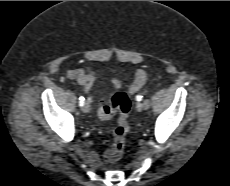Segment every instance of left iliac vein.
Returning <instances> with one entry per match:
<instances>
[{
	"label": "left iliac vein",
	"mask_w": 230,
	"mask_h": 186,
	"mask_svg": "<svg viewBox=\"0 0 230 186\" xmlns=\"http://www.w3.org/2000/svg\"><path fill=\"white\" fill-rule=\"evenodd\" d=\"M150 107V101L148 99H145L142 103L138 104L139 109L147 110Z\"/></svg>",
	"instance_id": "4c4485c4"
}]
</instances>
